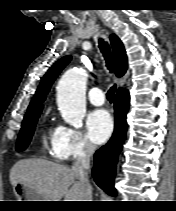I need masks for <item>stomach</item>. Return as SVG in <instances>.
<instances>
[{
  "instance_id": "obj_1",
  "label": "stomach",
  "mask_w": 176,
  "mask_h": 211,
  "mask_svg": "<svg viewBox=\"0 0 176 211\" xmlns=\"http://www.w3.org/2000/svg\"><path fill=\"white\" fill-rule=\"evenodd\" d=\"M13 192L19 199L18 201H48L36 189L24 183L14 184Z\"/></svg>"
}]
</instances>
